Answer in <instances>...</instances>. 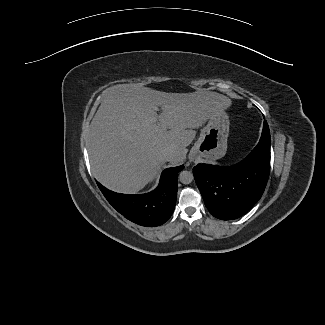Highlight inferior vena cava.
<instances>
[{
    "instance_id": "inferior-vena-cava-1",
    "label": "inferior vena cava",
    "mask_w": 325,
    "mask_h": 325,
    "mask_svg": "<svg viewBox=\"0 0 325 325\" xmlns=\"http://www.w3.org/2000/svg\"><path fill=\"white\" fill-rule=\"evenodd\" d=\"M160 157H161V160L163 162L170 161L172 159V157H173V154L170 151H164V152L161 153Z\"/></svg>"
}]
</instances>
